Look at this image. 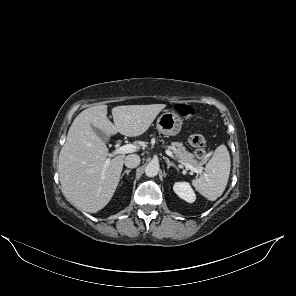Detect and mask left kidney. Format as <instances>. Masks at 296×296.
<instances>
[{
    "label": "left kidney",
    "instance_id": "5707ae66",
    "mask_svg": "<svg viewBox=\"0 0 296 296\" xmlns=\"http://www.w3.org/2000/svg\"><path fill=\"white\" fill-rule=\"evenodd\" d=\"M173 190L181 199L188 203H193L196 200V195L187 182H176Z\"/></svg>",
    "mask_w": 296,
    "mask_h": 296
}]
</instances>
